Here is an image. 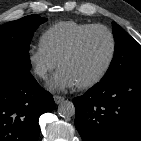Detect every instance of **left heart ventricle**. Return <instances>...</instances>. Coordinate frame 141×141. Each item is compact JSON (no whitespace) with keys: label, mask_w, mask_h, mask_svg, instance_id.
I'll return each instance as SVG.
<instances>
[{"label":"left heart ventricle","mask_w":141,"mask_h":141,"mask_svg":"<svg viewBox=\"0 0 141 141\" xmlns=\"http://www.w3.org/2000/svg\"><path fill=\"white\" fill-rule=\"evenodd\" d=\"M111 43L108 34L102 30L90 32L74 54L64 60V69L80 84L93 78L104 66L110 53Z\"/></svg>","instance_id":"obj_1"}]
</instances>
